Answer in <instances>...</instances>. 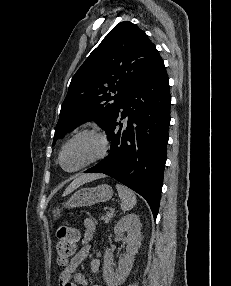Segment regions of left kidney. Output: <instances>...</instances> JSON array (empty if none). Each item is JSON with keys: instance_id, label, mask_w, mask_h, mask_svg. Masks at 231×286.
Segmentation results:
<instances>
[{"instance_id": "left-kidney-1", "label": "left kidney", "mask_w": 231, "mask_h": 286, "mask_svg": "<svg viewBox=\"0 0 231 286\" xmlns=\"http://www.w3.org/2000/svg\"><path fill=\"white\" fill-rule=\"evenodd\" d=\"M141 223L139 216L135 213L122 217L115 225L116 237L123 240L126 246V256L119 260L118 268L113 269L112 253L106 249L104 254L103 278L108 286H118L129 276L133 267L134 258L141 245ZM127 232V237L124 233Z\"/></svg>"}]
</instances>
